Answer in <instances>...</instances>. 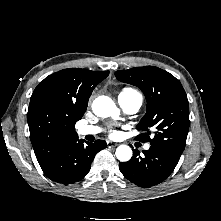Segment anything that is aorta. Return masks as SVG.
I'll use <instances>...</instances> for the list:
<instances>
[{"instance_id": "1", "label": "aorta", "mask_w": 221, "mask_h": 221, "mask_svg": "<svg viewBox=\"0 0 221 221\" xmlns=\"http://www.w3.org/2000/svg\"><path fill=\"white\" fill-rule=\"evenodd\" d=\"M92 110L99 117L118 116L119 109L116 107L113 100L107 96H99L92 103ZM116 157L121 162H127L132 157V150L127 145H120L116 149Z\"/></svg>"}]
</instances>
